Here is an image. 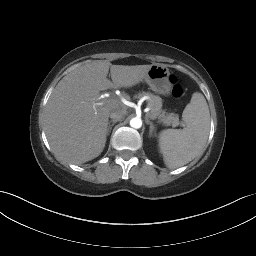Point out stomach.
Segmentation results:
<instances>
[{"instance_id": "1", "label": "stomach", "mask_w": 256, "mask_h": 256, "mask_svg": "<svg viewBox=\"0 0 256 256\" xmlns=\"http://www.w3.org/2000/svg\"><path fill=\"white\" fill-rule=\"evenodd\" d=\"M170 72L163 64H153L144 80L150 89L160 95H168L171 91Z\"/></svg>"}]
</instances>
